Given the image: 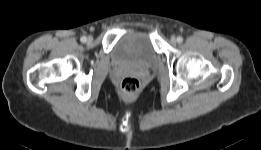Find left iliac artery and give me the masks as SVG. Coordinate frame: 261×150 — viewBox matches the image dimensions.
<instances>
[{"label": "left iliac artery", "instance_id": "left-iliac-artery-1", "mask_svg": "<svg viewBox=\"0 0 261 150\" xmlns=\"http://www.w3.org/2000/svg\"><path fill=\"white\" fill-rule=\"evenodd\" d=\"M182 41H183V38L181 36L177 37V42L178 43H182Z\"/></svg>", "mask_w": 261, "mask_h": 150}]
</instances>
